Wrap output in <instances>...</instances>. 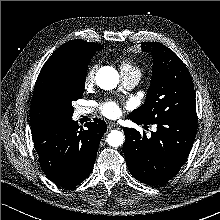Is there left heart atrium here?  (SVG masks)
Returning <instances> with one entry per match:
<instances>
[{
  "mask_svg": "<svg viewBox=\"0 0 220 220\" xmlns=\"http://www.w3.org/2000/svg\"><path fill=\"white\" fill-rule=\"evenodd\" d=\"M103 115L109 118H115L120 114V107L115 101H106L101 104Z\"/></svg>",
  "mask_w": 220,
  "mask_h": 220,
  "instance_id": "1",
  "label": "left heart atrium"
}]
</instances>
